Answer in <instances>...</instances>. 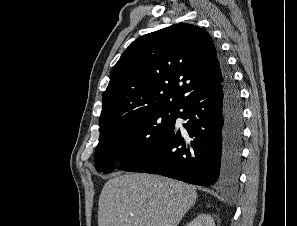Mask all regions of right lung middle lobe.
I'll return each instance as SVG.
<instances>
[{
	"instance_id": "1",
	"label": "right lung middle lobe",
	"mask_w": 297,
	"mask_h": 226,
	"mask_svg": "<svg viewBox=\"0 0 297 226\" xmlns=\"http://www.w3.org/2000/svg\"><path fill=\"white\" fill-rule=\"evenodd\" d=\"M177 114V110L149 111L100 130L94 156L97 170L107 174L125 167L174 127Z\"/></svg>"
}]
</instances>
